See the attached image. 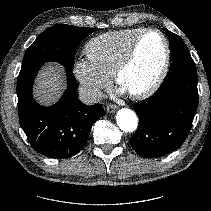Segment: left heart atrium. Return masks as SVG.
Returning a JSON list of instances; mask_svg holds the SVG:
<instances>
[{
    "instance_id": "39dd6f15",
    "label": "left heart atrium",
    "mask_w": 211,
    "mask_h": 211,
    "mask_svg": "<svg viewBox=\"0 0 211 211\" xmlns=\"http://www.w3.org/2000/svg\"><path fill=\"white\" fill-rule=\"evenodd\" d=\"M119 92H121V93H123V92H126V91H124L122 88L119 90Z\"/></svg>"
}]
</instances>
